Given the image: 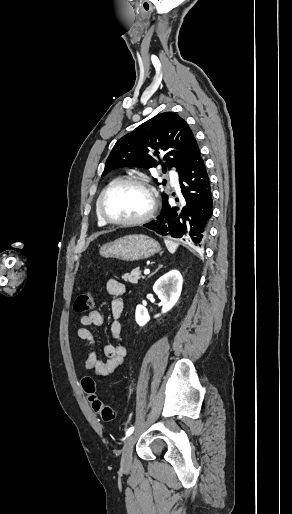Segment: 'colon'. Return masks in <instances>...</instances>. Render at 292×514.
<instances>
[{
    "mask_svg": "<svg viewBox=\"0 0 292 514\" xmlns=\"http://www.w3.org/2000/svg\"><path fill=\"white\" fill-rule=\"evenodd\" d=\"M93 307V293L90 291L80 293L74 303V309L77 313L83 314L90 311ZM82 385L86 392L90 395H95L97 393V388L94 380L92 379L91 373L83 374ZM88 402L92 405L93 409L100 415V417L105 420H111L115 417V411L112 407L105 405L101 402V400L96 397H91Z\"/></svg>",
    "mask_w": 292,
    "mask_h": 514,
    "instance_id": "5ec220e1",
    "label": "colon"
}]
</instances>
